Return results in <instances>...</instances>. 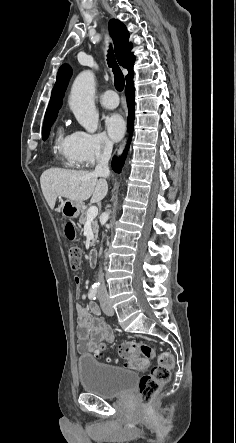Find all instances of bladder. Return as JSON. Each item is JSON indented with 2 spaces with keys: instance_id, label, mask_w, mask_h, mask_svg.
<instances>
[{
  "instance_id": "31cf9c89",
  "label": "bladder",
  "mask_w": 236,
  "mask_h": 443,
  "mask_svg": "<svg viewBox=\"0 0 236 443\" xmlns=\"http://www.w3.org/2000/svg\"><path fill=\"white\" fill-rule=\"evenodd\" d=\"M77 365L84 392L100 398L122 397L131 391L136 383L135 372L102 364L92 356L80 357Z\"/></svg>"
}]
</instances>
